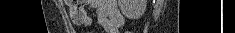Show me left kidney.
<instances>
[{
  "label": "left kidney",
  "instance_id": "1",
  "mask_svg": "<svg viewBox=\"0 0 235 33\" xmlns=\"http://www.w3.org/2000/svg\"><path fill=\"white\" fill-rule=\"evenodd\" d=\"M118 4L125 17L138 19L145 13L147 0H119Z\"/></svg>",
  "mask_w": 235,
  "mask_h": 33
}]
</instances>
